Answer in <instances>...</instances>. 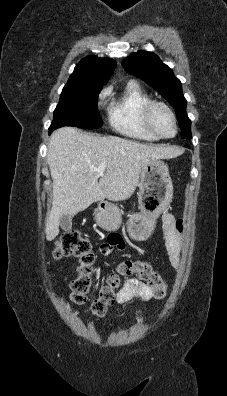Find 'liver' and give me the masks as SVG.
Returning a JSON list of instances; mask_svg holds the SVG:
<instances>
[{"label":"liver","instance_id":"1","mask_svg":"<svg viewBox=\"0 0 227 396\" xmlns=\"http://www.w3.org/2000/svg\"><path fill=\"white\" fill-rule=\"evenodd\" d=\"M179 154L175 148L95 136L74 127L57 129L50 137L47 153L53 202L45 224L46 239L51 241L59 234L60 216H74L104 198H129L146 163ZM100 164L106 165L103 175L97 172Z\"/></svg>","mask_w":227,"mask_h":396}]
</instances>
